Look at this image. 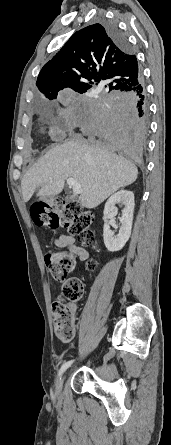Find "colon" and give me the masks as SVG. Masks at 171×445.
<instances>
[{
    "label": "colon",
    "mask_w": 171,
    "mask_h": 445,
    "mask_svg": "<svg viewBox=\"0 0 171 445\" xmlns=\"http://www.w3.org/2000/svg\"><path fill=\"white\" fill-rule=\"evenodd\" d=\"M31 215L34 223L39 227L51 230L65 228L73 236H77L81 243L93 246L94 234L90 230L93 215L79 203L56 199L51 205L36 203L32 206ZM46 264L51 276L56 280H65L61 297L52 305L54 316V330L56 338L61 342H70L75 335L73 322V303L81 298L83 284L76 277L68 278L76 265V255L67 252L49 251L45 255ZM96 264L90 262L89 270H94Z\"/></svg>",
    "instance_id": "5ec220e1"
}]
</instances>
